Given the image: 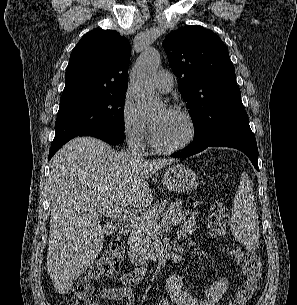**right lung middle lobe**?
I'll return each instance as SVG.
<instances>
[{"label": "right lung middle lobe", "instance_id": "1", "mask_svg": "<svg viewBox=\"0 0 297 305\" xmlns=\"http://www.w3.org/2000/svg\"><path fill=\"white\" fill-rule=\"evenodd\" d=\"M125 93L87 94L61 99L52 148L94 131L124 132Z\"/></svg>", "mask_w": 297, "mask_h": 305}]
</instances>
